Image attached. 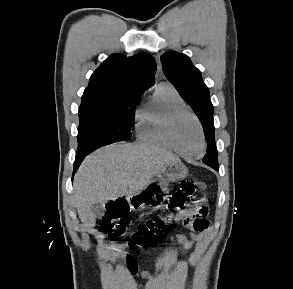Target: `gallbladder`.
Wrapping results in <instances>:
<instances>
[{"label": "gallbladder", "instance_id": "obj_1", "mask_svg": "<svg viewBox=\"0 0 293 289\" xmlns=\"http://www.w3.org/2000/svg\"><path fill=\"white\" fill-rule=\"evenodd\" d=\"M91 211L95 217L100 218L105 213V208L103 207L102 203H94L91 207Z\"/></svg>", "mask_w": 293, "mask_h": 289}]
</instances>
